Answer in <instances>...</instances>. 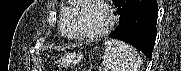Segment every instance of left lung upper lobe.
<instances>
[{"mask_svg":"<svg viewBox=\"0 0 181 71\" xmlns=\"http://www.w3.org/2000/svg\"><path fill=\"white\" fill-rule=\"evenodd\" d=\"M114 4H116L118 2V0H113Z\"/></svg>","mask_w":181,"mask_h":71,"instance_id":"obj_1","label":"left lung upper lobe"}]
</instances>
